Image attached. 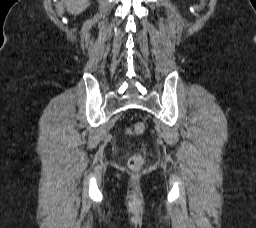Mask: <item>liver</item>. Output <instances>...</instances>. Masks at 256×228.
<instances>
[{
  "instance_id": "liver-1",
  "label": "liver",
  "mask_w": 256,
  "mask_h": 228,
  "mask_svg": "<svg viewBox=\"0 0 256 228\" xmlns=\"http://www.w3.org/2000/svg\"><path fill=\"white\" fill-rule=\"evenodd\" d=\"M64 3L71 14H80L89 6V0H64Z\"/></svg>"
}]
</instances>
